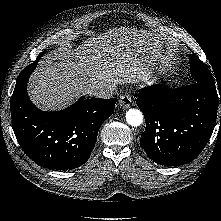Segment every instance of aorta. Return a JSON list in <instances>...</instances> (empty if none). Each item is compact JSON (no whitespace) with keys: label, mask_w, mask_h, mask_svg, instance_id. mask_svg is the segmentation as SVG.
I'll return each instance as SVG.
<instances>
[{"label":"aorta","mask_w":221,"mask_h":221,"mask_svg":"<svg viewBox=\"0 0 221 221\" xmlns=\"http://www.w3.org/2000/svg\"><path fill=\"white\" fill-rule=\"evenodd\" d=\"M125 117L127 123L133 127H138L143 123V114L138 109H129Z\"/></svg>","instance_id":"obj_1"}]
</instances>
